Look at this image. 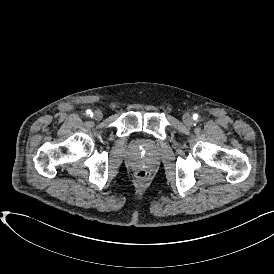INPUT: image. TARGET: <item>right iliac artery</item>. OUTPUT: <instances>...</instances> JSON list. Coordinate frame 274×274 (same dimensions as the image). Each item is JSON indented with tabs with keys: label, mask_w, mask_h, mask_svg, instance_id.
Segmentation results:
<instances>
[{
	"label": "right iliac artery",
	"mask_w": 274,
	"mask_h": 274,
	"mask_svg": "<svg viewBox=\"0 0 274 274\" xmlns=\"http://www.w3.org/2000/svg\"><path fill=\"white\" fill-rule=\"evenodd\" d=\"M86 113H87L88 115H91V114H92V111H91L90 109H88V110L86 111Z\"/></svg>",
	"instance_id": "1"
}]
</instances>
